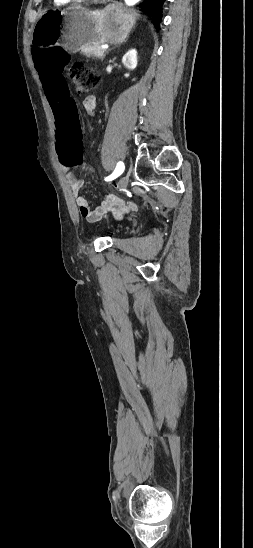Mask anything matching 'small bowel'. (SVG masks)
Returning <instances> with one entry per match:
<instances>
[{
    "instance_id": "small-bowel-1",
    "label": "small bowel",
    "mask_w": 253,
    "mask_h": 548,
    "mask_svg": "<svg viewBox=\"0 0 253 548\" xmlns=\"http://www.w3.org/2000/svg\"><path fill=\"white\" fill-rule=\"evenodd\" d=\"M52 60H66V58H54ZM50 106L52 109V105ZM82 107L86 111H93L96 107L95 97L94 96L86 97L82 102ZM59 161L61 162L60 158H59ZM61 167L66 172V179L71 188L73 195L75 196L76 204L79 207L80 214L87 221H95L101 215L106 213L108 209H110L113 215L117 218H121L123 215L133 212L137 209V205L134 202L124 203L122 199L115 196L109 197L108 207L104 205H100L95 209L90 208L87 199L80 195V191L84 185V181L82 179L77 178L73 173L69 171L70 166L61 165Z\"/></svg>"
}]
</instances>
